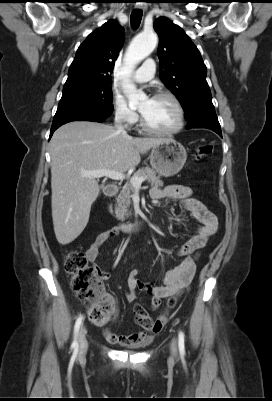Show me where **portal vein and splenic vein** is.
<instances>
[{"label": "portal vein and splenic vein", "instance_id": "18ae733b", "mask_svg": "<svg viewBox=\"0 0 272 401\" xmlns=\"http://www.w3.org/2000/svg\"><path fill=\"white\" fill-rule=\"evenodd\" d=\"M82 176L84 177H93V178H101V177H108L113 180H124L127 178V176L121 172H117L114 170H109V169H100V170H93V171H82L81 172ZM146 180L145 177H135L132 176L130 178V183L133 185L135 188H140L141 184Z\"/></svg>", "mask_w": 272, "mask_h": 401}]
</instances>
